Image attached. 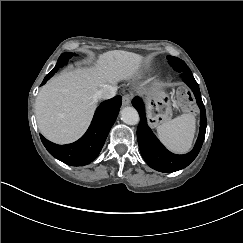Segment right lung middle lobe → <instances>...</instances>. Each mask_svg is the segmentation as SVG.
<instances>
[{
  "mask_svg": "<svg viewBox=\"0 0 243 243\" xmlns=\"http://www.w3.org/2000/svg\"><path fill=\"white\" fill-rule=\"evenodd\" d=\"M75 55H76L75 53H70V52H66V53L61 54V56L58 59L56 66L54 67V69L50 73H48L46 75L42 84L46 83V81L49 80L59 70V68L63 67L65 64H67L68 61Z\"/></svg>",
  "mask_w": 243,
  "mask_h": 243,
  "instance_id": "right-lung-middle-lobe-1",
  "label": "right lung middle lobe"
}]
</instances>
